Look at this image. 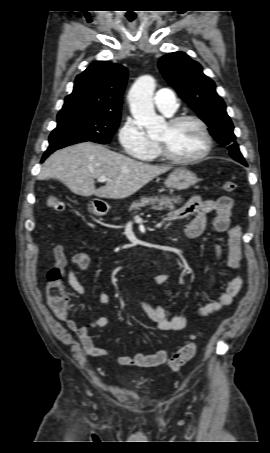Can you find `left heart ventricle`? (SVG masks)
I'll use <instances>...</instances> for the list:
<instances>
[{
    "label": "left heart ventricle",
    "instance_id": "1",
    "mask_svg": "<svg viewBox=\"0 0 270 453\" xmlns=\"http://www.w3.org/2000/svg\"><path fill=\"white\" fill-rule=\"evenodd\" d=\"M156 140L165 143L173 155L181 158L193 157L205 147L201 128L191 121L173 128L166 124Z\"/></svg>",
    "mask_w": 270,
    "mask_h": 453
}]
</instances>
